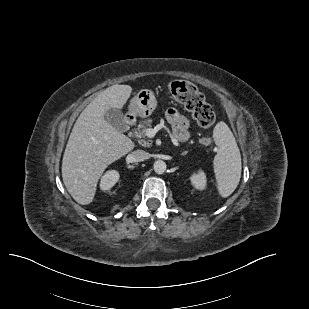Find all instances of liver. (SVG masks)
Listing matches in <instances>:
<instances>
[{"label":"liver","mask_w":309,"mask_h":309,"mask_svg":"<svg viewBox=\"0 0 309 309\" xmlns=\"http://www.w3.org/2000/svg\"><path fill=\"white\" fill-rule=\"evenodd\" d=\"M129 85H113L100 92L76 120L62 160L67 191L81 204H90L104 170L134 148V143L105 120L110 109H122Z\"/></svg>","instance_id":"liver-1"}]
</instances>
